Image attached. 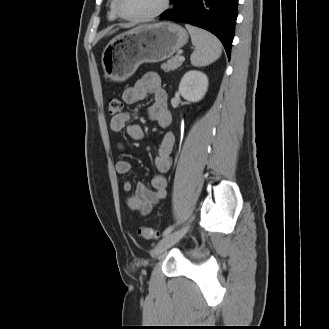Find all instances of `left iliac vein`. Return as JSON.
<instances>
[{
	"mask_svg": "<svg viewBox=\"0 0 329 329\" xmlns=\"http://www.w3.org/2000/svg\"><path fill=\"white\" fill-rule=\"evenodd\" d=\"M189 228L190 225H185L182 228L166 235L154 248L152 252L153 257L161 255L164 251L176 244L188 232Z\"/></svg>",
	"mask_w": 329,
	"mask_h": 329,
	"instance_id": "4c4485c4",
	"label": "left iliac vein"
}]
</instances>
